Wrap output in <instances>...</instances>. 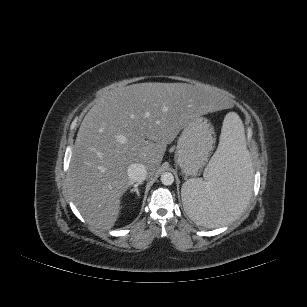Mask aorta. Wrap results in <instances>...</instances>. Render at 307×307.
Here are the masks:
<instances>
[{"label": "aorta", "mask_w": 307, "mask_h": 307, "mask_svg": "<svg viewBox=\"0 0 307 307\" xmlns=\"http://www.w3.org/2000/svg\"><path fill=\"white\" fill-rule=\"evenodd\" d=\"M160 180H161L162 184H164L166 186L172 185L173 182H174V176L170 172H164V173H162Z\"/></svg>", "instance_id": "obj_1"}]
</instances>
